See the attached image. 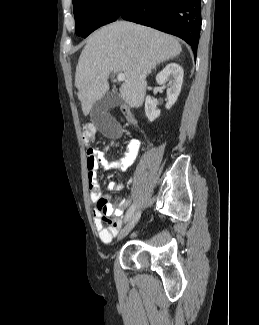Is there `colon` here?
Masks as SVG:
<instances>
[{"label":"colon","mask_w":259,"mask_h":325,"mask_svg":"<svg viewBox=\"0 0 259 325\" xmlns=\"http://www.w3.org/2000/svg\"><path fill=\"white\" fill-rule=\"evenodd\" d=\"M95 133V127L92 124H87L82 129V140L85 144H89Z\"/></svg>","instance_id":"obj_1"}]
</instances>
